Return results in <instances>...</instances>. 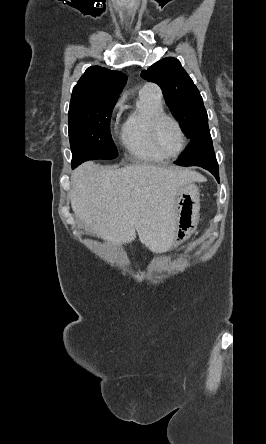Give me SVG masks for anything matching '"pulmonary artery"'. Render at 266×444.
<instances>
[{"label":"pulmonary artery","instance_id":"e3ab8cb5","mask_svg":"<svg viewBox=\"0 0 266 444\" xmlns=\"http://www.w3.org/2000/svg\"><path fill=\"white\" fill-rule=\"evenodd\" d=\"M142 93H146V94H151L155 97L161 98L162 97V92L161 89L153 83H147L145 84L142 88L141 91Z\"/></svg>","mask_w":266,"mask_h":444}]
</instances>
